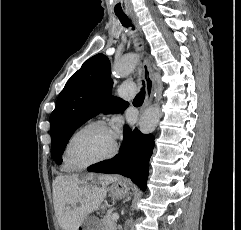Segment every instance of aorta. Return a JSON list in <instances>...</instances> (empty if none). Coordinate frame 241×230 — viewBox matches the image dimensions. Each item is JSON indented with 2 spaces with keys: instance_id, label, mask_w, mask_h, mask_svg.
Here are the masks:
<instances>
[{
  "instance_id": "aorta-1",
  "label": "aorta",
  "mask_w": 241,
  "mask_h": 230,
  "mask_svg": "<svg viewBox=\"0 0 241 230\" xmlns=\"http://www.w3.org/2000/svg\"><path fill=\"white\" fill-rule=\"evenodd\" d=\"M139 57L136 54H129L116 61L112 67V74L117 78L128 76L136 67ZM161 118L159 107L147 108L141 116L139 129L143 134L152 133Z\"/></svg>"
}]
</instances>
